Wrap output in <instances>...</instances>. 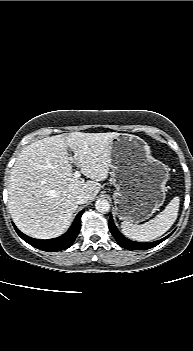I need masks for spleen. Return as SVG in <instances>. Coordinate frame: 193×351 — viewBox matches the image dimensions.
I'll use <instances>...</instances> for the list:
<instances>
[{
  "label": "spleen",
  "instance_id": "obj_1",
  "mask_svg": "<svg viewBox=\"0 0 193 351\" xmlns=\"http://www.w3.org/2000/svg\"><path fill=\"white\" fill-rule=\"evenodd\" d=\"M179 204V197H174L160 214L141 225L123 221L121 224L122 233L128 238L140 242H148L160 237L171 228L177 219Z\"/></svg>",
  "mask_w": 193,
  "mask_h": 351
}]
</instances>
